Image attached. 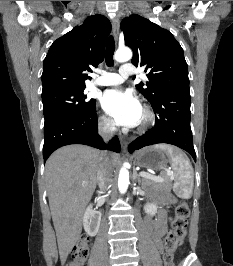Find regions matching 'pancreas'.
<instances>
[{
    "instance_id": "pancreas-1",
    "label": "pancreas",
    "mask_w": 233,
    "mask_h": 266,
    "mask_svg": "<svg viewBox=\"0 0 233 266\" xmlns=\"http://www.w3.org/2000/svg\"><path fill=\"white\" fill-rule=\"evenodd\" d=\"M142 184L147 185V186H152L156 188H162V187H170L169 182L167 181H162V182H156L148 178H142Z\"/></svg>"
}]
</instances>
